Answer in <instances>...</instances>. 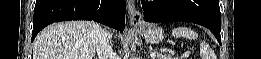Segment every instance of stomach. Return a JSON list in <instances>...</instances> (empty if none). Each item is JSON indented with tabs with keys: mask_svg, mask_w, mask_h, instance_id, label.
I'll list each match as a JSON object with an SVG mask.
<instances>
[{
	"mask_svg": "<svg viewBox=\"0 0 261 59\" xmlns=\"http://www.w3.org/2000/svg\"><path fill=\"white\" fill-rule=\"evenodd\" d=\"M139 31L143 38L152 44L161 42L164 38V31L156 24L146 23L139 27Z\"/></svg>",
	"mask_w": 261,
	"mask_h": 59,
	"instance_id": "0dacf381",
	"label": "stomach"
}]
</instances>
